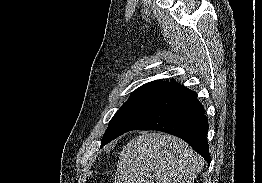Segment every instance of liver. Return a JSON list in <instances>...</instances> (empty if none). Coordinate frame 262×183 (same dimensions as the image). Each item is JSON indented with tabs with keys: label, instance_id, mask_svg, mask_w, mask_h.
I'll list each match as a JSON object with an SVG mask.
<instances>
[{
	"label": "liver",
	"instance_id": "obj_1",
	"mask_svg": "<svg viewBox=\"0 0 262 183\" xmlns=\"http://www.w3.org/2000/svg\"><path fill=\"white\" fill-rule=\"evenodd\" d=\"M203 166L202 157L181 139L145 133L123 148L114 183H191Z\"/></svg>",
	"mask_w": 262,
	"mask_h": 183
}]
</instances>
